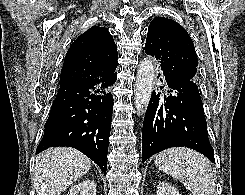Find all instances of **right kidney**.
Here are the masks:
<instances>
[{
  "mask_svg": "<svg viewBox=\"0 0 245 195\" xmlns=\"http://www.w3.org/2000/svg\"><path fill=\"white\" fill-rule=\"evenodd\" d=\"M66 195H96V184L85 180L71 187Z\"/></svg>",
  "mask_w": 245,
  "mask_h": 195,
  "instance_id": "1",
  "label": "right kidney"
}]
</instances>
